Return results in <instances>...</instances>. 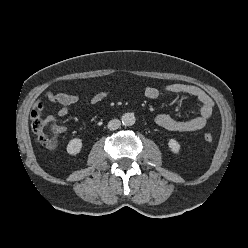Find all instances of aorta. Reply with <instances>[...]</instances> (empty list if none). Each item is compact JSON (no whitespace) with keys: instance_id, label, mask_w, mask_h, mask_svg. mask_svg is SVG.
<instances>
[{"instance_id":"aorta-1","label":"aorta","mask_w":248,"mask_h":248,"mask_svg":"<svg viewBox=\"0 0 248 248\" xmlns=\"http://www.w3.org/2000/svg\"><path fill=\"white\" fill-rule=\"evenodd\" d=\"M121 120L124 126H132L136 121L134 114L129 112L123 114Z\"/></svg>"}]
</instances>
